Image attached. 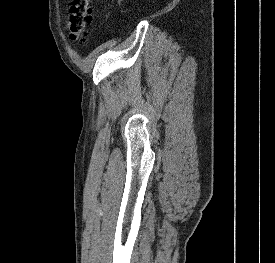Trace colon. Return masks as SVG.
Returning a JSON list of instances; mask_svg holds the SVG:
<instances>
[{
	"label": "colon",
	"mask_w": 275,
	"mask_h": 263,
	"mask_svg": "<svg viewBox=\"0 0 275 263\" xmlns=\"http://www.w3.org/2000/svg\"><path fill=\"white\" fill-rule=\"evenodd\" d=\"M93 21L92 0H72L67 21L71 41L85 44L88 27Z\"/></svg>",
	"instance_id": "colon-1"
}]
</instances>
